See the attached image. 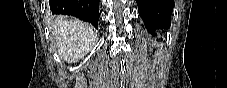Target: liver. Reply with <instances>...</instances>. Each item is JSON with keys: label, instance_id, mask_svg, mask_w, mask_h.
Returning <instances> with one entry per match:
<instances>
[{"label": "liver", "instance_id": "1", "mask_svg": "<svg viewBox=\"0 0 227 88\" xmlns=\"http://www.w3.org/2000/svg\"><path fill=\"white\" fill-rule=\"evenodd\" d=\"M54 45L58 56L68 63L82 59L93 47L97 35L88 23L56 16L51 23Z\"/></svg>", "mask_w": 227, "mask_h": 88}]
</instances>
